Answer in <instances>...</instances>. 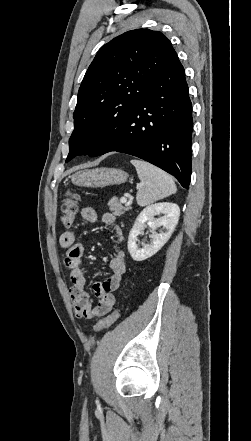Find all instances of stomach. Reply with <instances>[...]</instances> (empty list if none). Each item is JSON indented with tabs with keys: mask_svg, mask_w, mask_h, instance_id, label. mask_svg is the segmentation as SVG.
<instances>
[{
	"mask_svg": "<svg viewBox=\"0 0 251 441\" xmlns=\"http://www.w3.org/2000/svg\"><path fill=\"white\" fill-rule=\"evenodd\" d=\"M128 173L117 168H95L76 172L71 176L74 185L80 187L103 188L127 181Z\"/></svg>",
	"mask_w": 251,
	"mask_h": 441,
	"instance_id": "1",
	"label": "stomach"
}]
</instances>
